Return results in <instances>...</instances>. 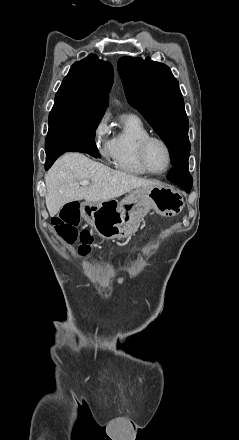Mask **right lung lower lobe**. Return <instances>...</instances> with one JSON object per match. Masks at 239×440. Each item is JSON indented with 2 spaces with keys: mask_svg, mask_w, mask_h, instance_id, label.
Here are the masks:
<instances>
[{
  "mask_svg": "<svg viewBox=\"0 0 239 440\" xmlns=\"http://www.w3.org/2000/svg\"><path fill=\"white\" fill-rule=\"evenodd\" d=\"M68 151H78V152H82V153H87L95 158H100V154L98 152L96 144L95 145L76 146V147H72V148L58 151V152L53 153L51 155H46L45 169L47 170L54 163L56 158H58L61 154L68 152Z\"/></svg>",
  "mask_w": 239,
  "mask_h": 440,
  "instance_id": "98d812e1",
  "label": "right lung lower lobe"
}]
</instances>
